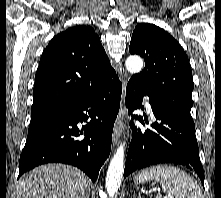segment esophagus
Listing matches in <instances>:
<instances>
[{"label":"esophagus","instance_id":"1","mask_svg":"<svg viewBox=\"0 0 221 198\" xmlns=\"http://www.w3.org/2000/svg\"><path fill=\"white\" fill-rule=\"evenodd\" d=\"M126 85H127V81L124 80L123 81V90H122L120 110H119V113H118V116H117L116 124H115L114 131H113V137H112V142H113L114 146L118 143V141L121 137V134L123 132V129H124V117H125V114H126V105H125Z\"/></svg>","mask_w":221,"mask_h":198}]
</instances>
